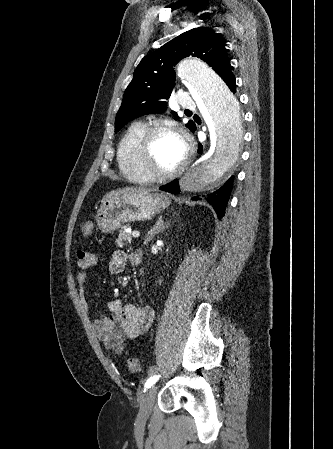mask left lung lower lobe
<instances>
[{
    "instance_id": "0a47b994",
    "label": "left lung lower lobe",
    "mask_w": 333,
    "mask_h": 449,
    "mask_svg": "<svg viewBox=\"0 0 333 449\" xmlns=\"http://www.w3.org/2000/svg\"><path fill=\"white\" fill-rule=\"evenodd\" d=\"M227 86L232 92L236 91L235 76L230 71L223 78ZM234 176H231L219 189L214 192L206 193L201 196H195L193 200H207L214 208L219 219H221L225 213V208L230 196V192L233 185ZM160 190L177 194L180 192L178 180H175L169 184L160 187Z\"/></svg>"
}]
</instances>
